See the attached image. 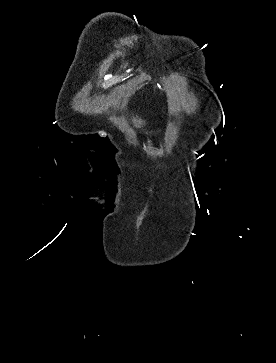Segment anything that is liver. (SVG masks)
I'll return each mask as SVG.
<instances>
[{"label":"liver","instance_id":"obj_1","mask_svg":"<svg viewBox=\"0 0 276 363\" xmlns=\"http://www.w3.org/2000/svg\"><path fill=\"white\" fill-rule=\"evenodd\" d=\"M133 123L135 127H141L143 125V121L140 119H133Z\"/></svg>","mask_w":276,"mask_h":363}]
</instances>
